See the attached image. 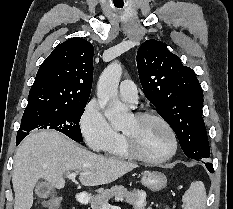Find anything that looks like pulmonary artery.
<instances>
[{"instance_id": "pulmonary-artery-1", "label": "pulmonary artery", "mask_w": 233, "mask_h": 209, "mask_svg": "<svg viewBox=\"0 0 233 209\" xmlns=\"http://www.w3.org/2000/svg\"><path fill=\"white\" fill-rule=\"evenodd\" d=\"M119 97L124 102L134 105L138 100V92L135 83L131 80H123L119 86Z\"/></svg>"}]
</instances>
